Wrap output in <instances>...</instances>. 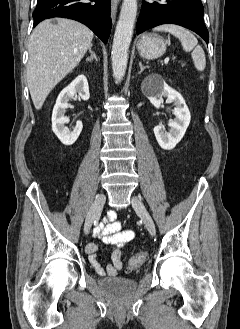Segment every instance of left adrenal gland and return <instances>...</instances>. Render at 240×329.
I'll return each mask as SVG.
<instances>
[{"instance_id": "a2214340", "label": "left adrenal gland", "mask_w": 240, "mask_h": 329, "mask_svg": "<svg viewBox=\"0 0 240 329\" xmlns=\"http://www.w3.org/2000/svg\"><path fill=\"white\" fill-rule=\"evenodd\" d=\"M139 67H140V72L141 73L145 68H148V66H143L142 63H139Z\"/></svg>"}]
</instances>
